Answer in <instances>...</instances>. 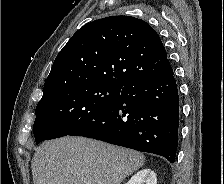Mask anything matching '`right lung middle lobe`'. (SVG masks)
I'll return each instance as SVG.
<instances>
[{"label":"right lung middle lobe","mask_w":224,"mask_h":184,"mask_svg":"<svg viewBox=\"0 0 224 184\" xmlns=\"http://www.w3.org/2000/svg\"><path fill=\"white\" fill-rule=\"evenodd\" d=\"M125 85L81 83L38 103L34 122L36 143L69 135L106 110Z\"/></svg>","instance_id":"obj_1"}]
</instances>
